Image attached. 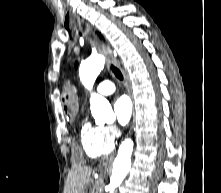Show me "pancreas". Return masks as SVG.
<instances>
[{"mask_svg":"<svg viewBox=\"0 0 221 193\" xmlns=\"http://www.w3.org/2000/svg\"><path fill=\"white\" fill-rule=\"evenodd\" d=\"M95 187H96V189H97V190H99V187H98V185H97V184H95Z\"/></svg>","mask_w":221,"mask_h":193,"instance_id":"1","label":"pancreas"}]
</instances>
